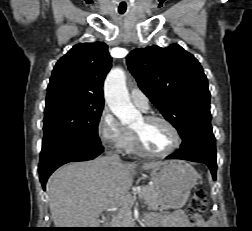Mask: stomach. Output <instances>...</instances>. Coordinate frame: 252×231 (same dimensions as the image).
Returning <instances> with one entry per match:
<instances>
[{
	"label": "stomach",
	"instance_id": "1",
	"mask_svg": "<svg viewBox=\"0 0 252 231\" xmlns=\"http://www.w3.org/2000/svg\"><path fill=\"white\" fill-rule=\"evenodd\" d=\"M150 176L163 209H178L187 202L197 182V172L184 161L172 160L151 169Z\"/></svg>",
	"mask_w": 252,
	"mask_h": 231
}]
</instances>
